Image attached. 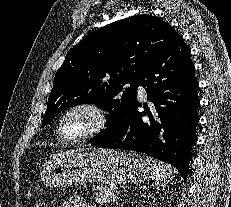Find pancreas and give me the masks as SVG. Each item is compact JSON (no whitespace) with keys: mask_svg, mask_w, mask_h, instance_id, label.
I'll list each match as a JSON object with an SVG mask.
<instances>
[{"mask_svg":"<svg viewBox=\"0 0 231 207\" xmlns=\"http://www.w3.org/2000/svg\"><path fill=\"white\" fill-rule=\"evenodd\" d=\"M93 198L100 206H107L108 203L114 202V198L117 197V191L114 188L108 187H93Z\"/></svg>","mask_w":231,"mask_h":207,"instance_id":"pancreas-1","label":"pancreas"}]
</instances>
